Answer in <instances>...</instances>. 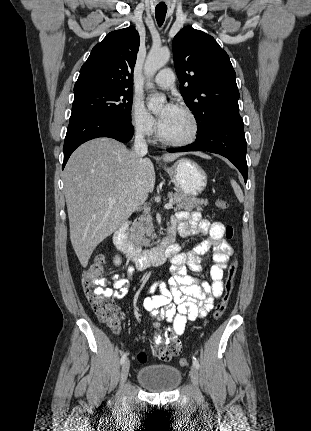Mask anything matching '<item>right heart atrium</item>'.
Returning a JSON list of instances; mask_svg holds the SVG:
<instances>
[{
    "label": "right heart atrium",
    "instance_id": "obj_1",
    "mask_svg": "<svg viewBox=\"0 0 311 431\" xmlns=\"http://www.w3.org/2000/svg\"><path fill=\"white\" fill-rule=\"evenodd\" d=\"M128 122L134 134L146 139H151L157 129L153 116L145 108L143 103L136 98L131 101L128 112Z\"/></svg>",
    "mask_w": 311,
    "mask_h": 431
}]
</instances>
